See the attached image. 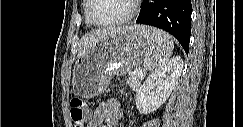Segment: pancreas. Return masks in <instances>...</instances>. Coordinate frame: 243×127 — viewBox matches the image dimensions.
Returning <instances> with one entry per match:
<instances>
[{"mask_svg":"<svg viewBox=\"0 0 243 127\" xmlns=\"http://www.w3.org/2000/svg\"><path fill=\"white\" fill-rule=\"evenodd\" d=\"M143 76L142 75H137L135 73H130L129 78H128V84L133 90H137Z\"/></svg>","mask_w":243,"mask_h":127,"instance_id":"pancreas-1","label":"pancreas"}]
</instances>
